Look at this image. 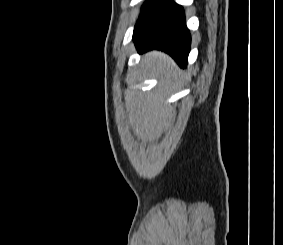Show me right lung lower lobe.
<instances>
[{"mask_svg": "<svg viewBox=\"0 0 283 245\" xmlns=\"http://www.w3.org/2000/svg\"><path fill=\"white\" fill-rule=\"evenodd\" d=\"M133 41L139 53L163 50L185 68L191 36L182 7L172 0H155L141 13L134 28Z\"/></svg>", "mask_w": 283, "mask_h": 245, "instance_id": "right-lung-lower-lobe-1", "label": "right lung lower lobe"}]
</instances>
